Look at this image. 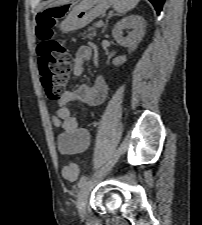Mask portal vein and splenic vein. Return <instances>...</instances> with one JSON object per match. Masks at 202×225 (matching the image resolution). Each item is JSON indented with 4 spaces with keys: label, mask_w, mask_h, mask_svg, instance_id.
<instances>
[{
    "label": "portal vein and splenic vein",
    "mask_w": 202,
    "mask_h": 225,
    "mask_svg": "<svg viewBox=\"0 0 202 225\" xmlns=\"http://www.w3.org/2000/svg\"><path fill=\"white\" fill-rule=\"evenodd\" d=\"M103 24H104V22L102 21V20H100V21H98V23H97V27H102L103 26Z\"/></svg>",
    "instance_id": "1"
}]
</instances>
